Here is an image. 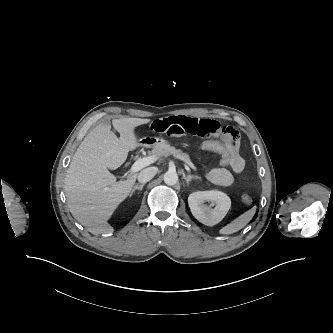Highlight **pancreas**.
Masks as SVG:
<instances>
[{
    "instance_id": "pancreas-1",
    "label": "pancreas",
    "mask_w": 333,
    "mask_h": 333,
    "mask_svg": "<svg viewBox=\"0 0 333 333\" xmlns=\"http://www.w3.org/2000/svg\"><path fill=\"white\" fill-rule=\"evenodd\" d=\"M152 153L158 157L174 155L179 159L185 161L187 164L192 163L190 156L187 153H184L180 149H176L175 147L170 146L166 143L154 146Z\"/></svg>"
}]
</instances>
